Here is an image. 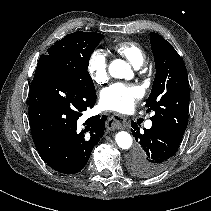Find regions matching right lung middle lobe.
Returning a JSON list of instances; mask_svg holds the SVG:
<instances>
[{
	"mask_svg": "<svg viewBox=\"0 0 211 211\" xmlns=\"http://www.w3.org/2000/svg\"><path fill=\"white\" fill-rule=\"evenodd\" d=\"M104 36L95 32L77 31L54 43L47 53L41 55L39 66H52L66 74L78 85L95 92L93 80L88 73V62L95 47Z\"/></svg>",
	"mask_w": 211,
	"mask_h": 211,
	"instance_id": "right-lung-middle-lobe-1",
	"label": "right lung middle lobe"
}]
</instances>
